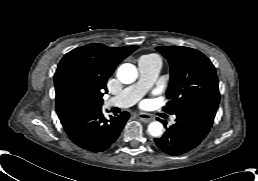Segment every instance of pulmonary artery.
Returning <instances> with one entry per match:
<instances>
[{
  "mask_svg": "<svg viewBox=\"0 0 258 181\" xmlns=\"http://www.w3.org/2000/svg\"><path fill=\"white\" fill-rule=\"evenodd\" d=\"M161 65V59L156 56L139 60V80L135 84L126 87L118 95L106 100L105 107L126 108L137 103L155 83ZM175 119L176 117L173 116L171 118L172 122Z\"/></svg>",
  "mask_w": 258,
  "mask_h": 181,
  "instance_id": "obj_1",
  "label": "pulmonary artery"
}]
</instances>
